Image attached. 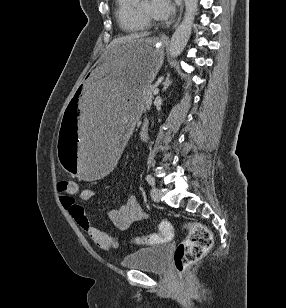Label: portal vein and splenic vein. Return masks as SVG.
I'll use <instances>...</instances> for the list:
<instances>
[{"label": "portal vein and splenic vein", "mask_w": 286, "mask_h": 308, "mask_svg": "<svg viewBox=\"0 0 286 308\" xmlns=\"http://www.w3.org/2000/svg\"><path fill=\"white\" fill-rule=\"evenodd\" d=\"M152 93L154 95H157L159 93V89L158 88H153Z\"/></svg>", "instance_id": "18ae733b"}]
</instances>
